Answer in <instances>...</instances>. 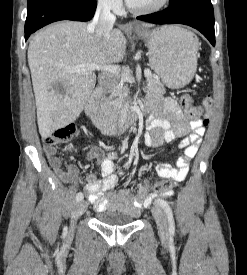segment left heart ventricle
I'll list each match as a JSON object with an SVG mask.
<instances>
[{"mask_svg": "<svg viewBox=\"0 0 247 275\" xmlns=\"http://www.w3.org/2000/svg\"><path fill=\"white\" fill-rule=\"evenodd\" d=\"M135 8H148L161 2V0H129Z\"/></svg>", "mask_w": 247, "mask_h": 275, "instance_id": "b2bd125f", "label": "left heart ventricle"}]
</instances>
